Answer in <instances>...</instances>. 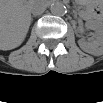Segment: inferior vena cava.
I'll return each mask as SVG.
<instances>
[{
  "mask_svg": "<svg viewBox=\"0 0 103 103\" xmlns=\"http://www.w3.org/2000/svg\"><path fill=\"white\" fill-rule=\"evenodd\" d=\"M46 3L44 1H34L30 7L31 12L34 16L42 14L46 10Z\"/></svg>",
  "mask_w": 103,
  "mask_h": 103,
  "instance_id": "602c4592",
  "label": "inferior vena cava"
}]
</instances>
